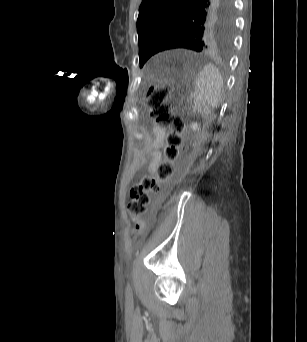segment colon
<instances>
[{
    "mask_svg": "<svg viewBox=\"0 0 307 342\" xmlns=\"http://www.w3.org/2000/svg\"><path fill=\"white\" fill-rule=\"evenodd\" d=\"M166 87H150L148 91V110L155 125L167 131L163 158L153 174H144L139 182L129 189L127 211L133 219V237H138L146 230L142 216L148 211L151 193L159 191V184L170 180L175 175V161L180 156L183 143L184 124L167 104Z\"/></svg>",
    "mask_w": 307,
    "mask_h": 342,
    "instance_id": "obj_1",
    "label": "colon"
}]
</instances>
